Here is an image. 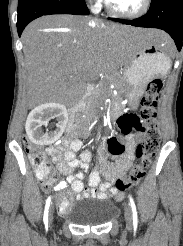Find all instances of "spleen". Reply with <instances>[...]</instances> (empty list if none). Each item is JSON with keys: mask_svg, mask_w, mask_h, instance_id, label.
Masks as SVG:
<instances>
[{"mask_svg": "<svg viewBox=\"0 0 183 246\" xmlns=\"http://www.w3.org/2000/svg\"><path fill=\"white\" fill-rule=\"evenodd\" d=\"M146 58L144 56H140L134 63L133 65V69L136 70L138 69L139 67L143 66L145 63H146ZM170 66H168V70L170 69Z\"/></svg>", "mask_w": 183, "mask_h": 246, "instance_id": "3e777b00", "label": "spleen"}]
</instances>
